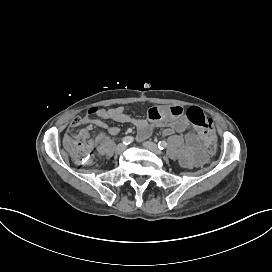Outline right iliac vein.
<instances>
[{"mask_svg": "<svg viewBox=\"0 0 272 272\" xmlns=\"http://www.w3.org/2000/svg\"><path fill=\"white\" fill-rule=\"evenodd\" d=\"M126 150V145L125 144H119L117 147H116V153L117 154H121L123 153L124 151Z\"/></svg>", "mask_w": 272, "mask_h": 272, "instance_id": "63e3f726", "label": "right iliac vein"}]
</instances>
